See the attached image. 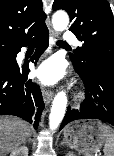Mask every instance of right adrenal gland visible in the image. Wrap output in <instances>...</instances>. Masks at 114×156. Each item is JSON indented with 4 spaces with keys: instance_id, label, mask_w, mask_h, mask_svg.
Returning <instances> with one entry per match:
<instances>
[{
    "instance_id": "right-adrenal-gland-1",
    "label": "right adrenal gland",
    "mask_w": 114,
    "mask_h": 156,
    "mask_svg": "<svg viewBox=\"0 0 114 156\" xmlns=\"http://www.w3.org/2000/svg\"><path fill=\"white\" fill-rule=\"evenodd\" d=\"M27 141H28L29 143H31V141H32L31 137H29Z\"/></svg>"
}]
</instances>
